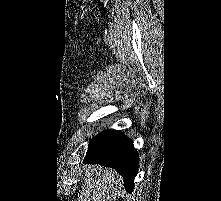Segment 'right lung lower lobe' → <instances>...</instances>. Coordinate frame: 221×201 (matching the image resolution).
Masks as SVG:
<instances>
[{"label":"right lung lower lobe","mask_w":221,"mask_h":201,"mask_svg":"<svg viewBox=\"0 0 221 201\" xmlns=\"http://www.w3.org/2000/svg\"><path fill=\"white\" fill-rule=\"evenodd\" d=\"M84 162L114 168L122 175L127 191L133 190L138 172V153L132 141L119 131L109 129L93 138Z\"/></svg>","instance_id":"98d812e1"}]
</instances>
